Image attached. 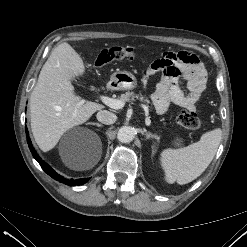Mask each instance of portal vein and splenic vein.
Masks as SVG:
<instances>
[{
	"mask_svg": "<svg viewBox=\"0 0 247 247\" xmlns=\"http://www.w3.org/2000/svg\"><path fill=\"white\" fill-rule=\"evenodd\" d=\"M100 100L107 106H109L110 108H113V109H121L124 107L125 105V102L123 100H119V99H113V98H110L108 96H104V95H101L100 96ZM83 102H81L80 104H82ZM144 111H145V123L147 126H150L151 124V120L150 118L148 117V109L147 107H144Z\"/></svg>",
	"mask_w": 247,
	"mask_h": 247,
	"instance_id": "18ae733b",
	"label": "portal vein and splenic vein"
}]
</instances>
